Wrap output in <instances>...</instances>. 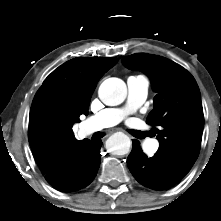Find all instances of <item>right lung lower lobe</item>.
I'll return each mask as SVG.
<instances>
[{
  "label": "right lung lower lobe",
  "instance_id": "obj_1",
  "mask_svg": "<svg viewBox=\"0 0 221 221\" xmlns=\"http://www.w3.org/2000/svg\"><path fill=\"white\" fill-rule=\"evenodd\" d=\"M102 141H89L73 156L65 169L57 176H46L47 182L62 192H73L88 186L100 166Z\"/></svg>",
  "mask_w": 221,
  "mask_h": 221
}]
</instances>
